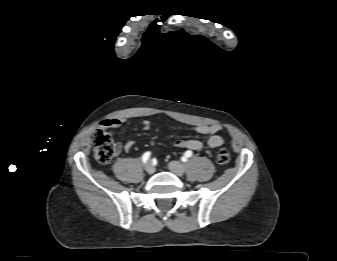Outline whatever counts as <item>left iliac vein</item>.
<instances>
[{"label":"left iliac vein","instance_id":"obj_1","mask_svg":"<svg viewBox=\"0 0 337 261\" xmlns=\"http://www.w3.org/2000/svg\"><path fill=\"white\" fill-rule=\"evenodd\" d=\"M168 168L177 176H182L185 172L184 165L178 161H171L168 165Z\"/></svg>","mask_w":337,"mask_h":261}]
</instances>
